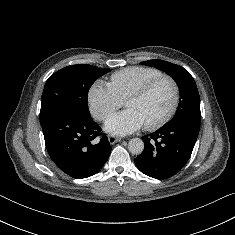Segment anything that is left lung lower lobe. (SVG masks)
<instances>
[{
  "mask_svg": "<svg viewBox=\"0 0 235 235\" xmlns=\"http://www.w3.org/2000/svg\"><path fill=\"white\" fill-rule=\"evenodd\" d=\"M200 120L184 119L142 137L145 147L136 157L137 168L152 178L167 179L186 164L200 129Z\"/></svg>",
  "mask_w": 235,
  "mask_h": 235,
  "instance_id": "left-lung-lower-lobe-1",
  "label": "left lung lower lobe"
}]
</instances>
